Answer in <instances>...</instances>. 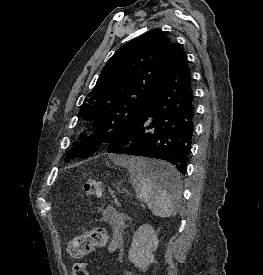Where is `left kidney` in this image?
I'll return each mask as SVG.
<instances>
[{
    "mask_svg": "<svg viewBox=\"0 0 263 275\" xmlns=\"http://www.w3.org/2000/svg\"><path fill=\"white\" fill-rule=\"evenodd\" d=\"M159 244L157 234L149 224H143L134 233L128 259L136 267L146 270L155 260L153 252Z\"/></svg>",
    "mask_w": 263,
    "mask_h": 275,
    "instance_id": "obj_1",
    "label": "left kidney"
}]
</instances>
